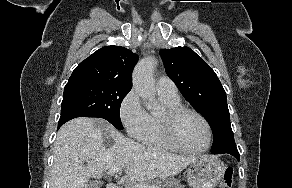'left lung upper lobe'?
Wrapping results in <instances>:
<instances>
[{
	"label": "left lung upper lobe",
	"mask_w": 292,
	"mask_h": 188,
	"mask_svg": "<svg viewBox=\"0 0 292 188\" xmlns=\"http://www.w3.org/2000/svg\"><path fill=\"white\" fill-rule=\"evenodd\" d=\"M160 54L167 75L208 121L214 136L211 152L236 149L226 93L213 69L189 47L162 49Z\"/></svg>",
	"instance_id": "1"
}]
</instances>
